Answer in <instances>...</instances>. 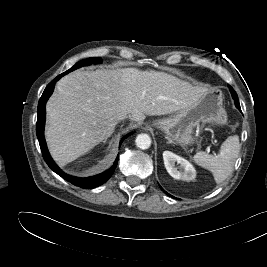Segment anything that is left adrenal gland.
Here are the masks:
<instances>
[{"mask_svg":"<svg viewBox=\"0 0 267 267\" xmlns=\"http://www.w3.org/2000/svg\"><path fill=\"white\" fill-rule=\"evenodd\" d=\"M168 139V138H167ZM168 143H172V141L170 139H168Z\"/></svg>","mask_w":267,"mask_h":267,"instance_id":"a2214340","label":"left adrenal gland"}]
</instances>
